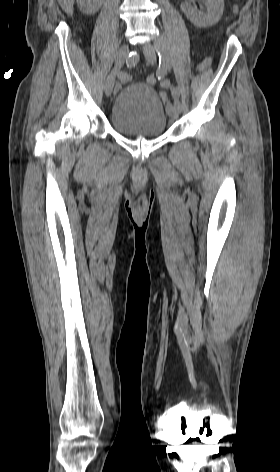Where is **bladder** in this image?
<instances>
[{
  "mask_svg": "<svg viewBox=\"0 0 280 472\" xmlns=\"http://www.w3.org/2000/svg\"><path fill=\"white\" fill-rule=\"evenodd\" d=\"M110 125L126 135L160 136L167 129V113L156 90L133 82L116 95L109 114Z\"/></svg>",
  "mask_w": 280,
  "mask_h": 472,
  "instance_id": "bladder-1",
  "label": "bladder"
}]
</instances>
